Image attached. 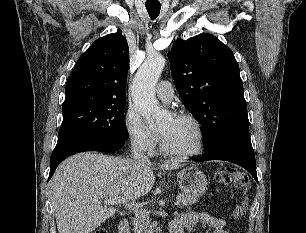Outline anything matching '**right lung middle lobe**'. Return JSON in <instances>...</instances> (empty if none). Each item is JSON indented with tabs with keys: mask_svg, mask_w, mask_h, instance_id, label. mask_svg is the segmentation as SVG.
Instances as JSON below:
<instances>
[{
	"mask_svg": "<svg viewBox=\"0 0 306 233\" xmlns=\"http://www.w3.org/2000/svg\"><path fill=\"white\" fill-rule=\"evenodd\" d=\"M125 100L82 98L65 102L55 149L83 139L127 140Z\"/></svg>",
	"mask_w": 306,
	"mask_h": 233,
	"instance_id": "1",
	"label": "right lung middle lobe"
}]
</instances>
